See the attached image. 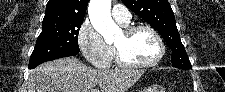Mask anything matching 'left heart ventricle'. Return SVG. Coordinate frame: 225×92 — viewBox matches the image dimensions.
Returning a JSON list of instances; mask_svg holds the SVG:
<instances>
[{"mask_svg": "<svg viewBox=\"0 0 225 92\" xmlns=\"http://www.w3.org/2000/svg\"><path fill=\"white\" fill-rule=\"evenodd\" d=\"M114 44L122 50L128 60L137 63L150 62L159 52L157 41L147 30H139L129 37L122 32Z\"/></svg>", "mask_w": 225, "mask_h": 92, "instance_id": "obj_1", "label": "left heart ventricle"}]
</instances>
